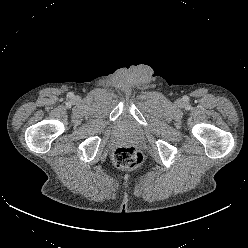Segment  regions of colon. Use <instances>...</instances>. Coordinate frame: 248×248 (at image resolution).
<instances>
[{
  "label": "colon",
  "mask_w": 248,
  "mask_h": 248,
  "mask_svg": "<svg viewBox=\"0 0 248 248\" xmlns=\"http://www.w3.org/2000/svg\"><path fill=\"white\" fill-rule=\"evenodd\" d=\"M112 160L117 168L132 170L143 162L142 154L131 146L118 147L114 150Z\"/></svg>",
  "instance_id": "colon-1"
}]
</instances>
